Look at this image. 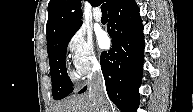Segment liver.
<instances>
[{"instance_id":"6515ba94","label":"liver","mask_w":193,"mask_h":112,"mask_svg":"<svg viewBox=\"0 0 193 112\" xmlns=\"http://www.w3.org/2000/svg\"><path fill=\"white\" fill-rule=\"evenodd\" d=\"M53 112H100V107L92 95L85 93L57 103Z\"/></svg>"}]
</instances>
